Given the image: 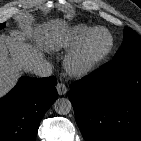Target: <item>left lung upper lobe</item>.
Here are the masks:
<instances>
[{
    "label": "left lung upper lobe",
    "instance_id": "1",
    "mask_svg": "<svg viewBox=\"0 0 141 141\" xmlns=\"http://www.w3.org/2000/svg\"><path fill=\"white\" fill-rule=\"evenodd\" d=\"M141 55V36L129 27L124 29V40L113 60Z\"/></svg>",
    "mask_w": 141,
    "mask_h": 141
}]
</instances>
